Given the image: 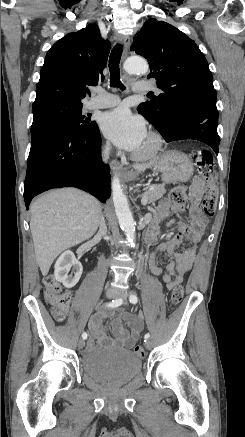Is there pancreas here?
Listing matches in <instances>:
<instances>
[{
	"instance_id": "obj_1",
	"label": "pancreas",
	"mask_w": 245,
	"mask_h": 437,
	"mask_svg": "<svg viewBox=\"0 0 245 437\" xmlns=\"http://www.w3.org/2000/svg\"><path fill=\"white\" fill-rule=\"evenodd\" d=\"M166 193L164 184H154L149 187V190L144 193L149 204H154Z\"/></svg>"
}]
</instances>
